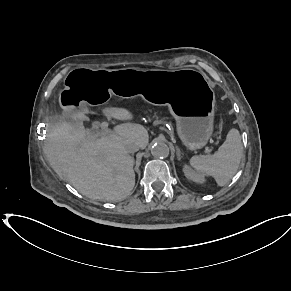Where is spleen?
Listing matches in <instances>:
<instances>
[{
    "instance_id": "spleen-1",
    "label": "spleen",
    "mask_w": 291,
    "mask_h": 291,
    "mask_svg": "<svg viewBox=\"0 0 291 291\" xmlns=\"http://www.w3.org/2000/svg\"><path fill=\"white\" fill-rule=\"evenodd\" d=\"M242 157L240 133L233 128L213 155L193 156L190 165L202 176H212L219 186H224L236 174Z\"/></svg>"
}]
</instances>
